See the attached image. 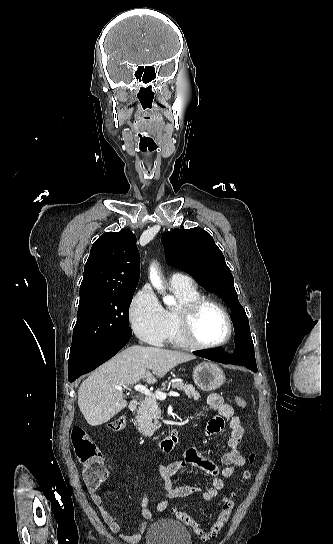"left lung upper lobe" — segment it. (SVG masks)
I'll return each instance as SVG.
<instances>
[{
	"label": "left lung upper lobe",
	"mask_w": 333,
	"mask_h": 544,
	"mask_svg": "<svg viewBox=\"0 0 333 544\" xmlns=\"http://www.w3.org/2000/svg\"><path fill=\"white\" fill-rule=\"evenodd\" d=\"M170 266L192 274L206 290L216 292L231 308V319L248 324L245 310L238 301L234 278L224 255L212 236L201 228L174 229L162 236ZM250 332V331H249ZM249 355L254 357L250 347Z\"/></svg>",
	"instance_id": "obj_1"
}]
</instances>
